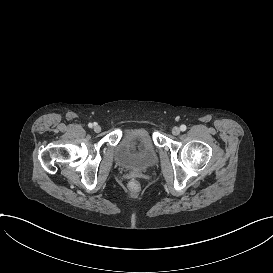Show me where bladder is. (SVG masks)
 Masks as SVG:
<instances>
[{"label": "bladder", "mask_w": 273, "mask_h": 273, "mask_svg": "<svg viewBox=\"0 0 273 273\" xmlns=\"http://www.w3.org/2000/svg\"><path fill=\"white\" fill-rule=\"evenodd\" d=\"M133 140L140 141L142 152L139 155H131L128 148ZM113 157L115 163L126 170L145 171L156 165L158 151L151 135L143 130L126 132L122 134L118 144L114 147Z\"/></svg>", "instance_id": "bladder-1"}]
</instances>
